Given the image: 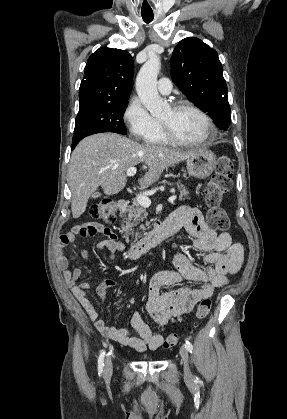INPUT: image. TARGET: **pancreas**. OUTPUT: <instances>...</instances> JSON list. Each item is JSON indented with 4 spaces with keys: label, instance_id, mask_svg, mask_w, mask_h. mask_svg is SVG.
<instances>
[{
    "label": "pancreas",
    "instance_id": "obj_1",
    "mask_svg": "<svg viewBox=\"0 0 287 419\" xmlns=\"http://www.w3.org/2000/svg\"><path fill=\"white\" fill-rule=\"evenodd\" d=\"M177 188L180 191V196H179L180 200L188 197V195L190 194L183 184L177 183ZM147 215L148 213L138 203L137 200H133L132 205L128 206V208L123 214V217L125 219L124 221L125 226L122 227V231L125 232L124 237L126 238L127 242L129 241L128 235L133 234V227L143 222ZM140 229H144V226L140 225ZM140 237H141L140 234L136 233L135 240H137Z\"/></svg>",
    "mask_w": 287,
    "mask_h": 419
}]
</instances>
